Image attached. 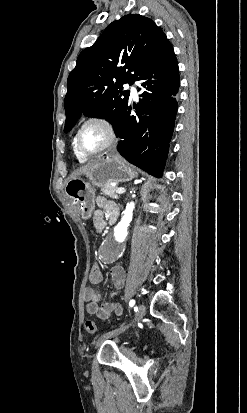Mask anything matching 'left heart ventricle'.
<instances>
[{
    "instance_id": "obj_1",
    "label": "left heart ventricle",
    "mask_w": 247,
    "mask_h": 413,
    "mask_svg": "<svg viewBox=\"0 0 247 413\" xmlns=\"http://www.w3.org/2000/svg\"><path fill=\"white\" fill-rule=\"evenodd\" d=\"M108 138V129L97 125H90L81 132L80 144L86 151L93 152L101 148Z\"/></svg>"
}]
</instances>
